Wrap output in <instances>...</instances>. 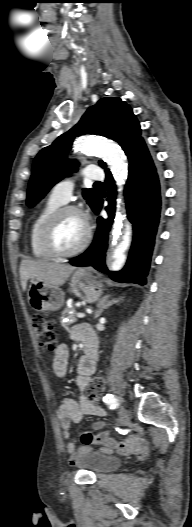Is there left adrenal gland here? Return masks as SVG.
I'll list each match as a JSON object with an SVG mask.
<instances>
[{
  "label": "left adrenal gland",
  "instance_id": "a2214340",
  "mask_svg": "<svg viewBox=\"0 0 192 527\" xmlns=\"http://www.w3.org/2000/svg\"><path fill=\"white\" fill-rule=\"evenodd\" d=\"M109 297L110 295H107L98 301V304H97L98 310L95 313V316H94L95 319L98 318L102 314L104 309H107L108 307L112 306L115 303H118L121 300V298L109 300Z\"/></svg>",
  "mask_w": 192,
  "mask_h": 527
}]
</instances>
